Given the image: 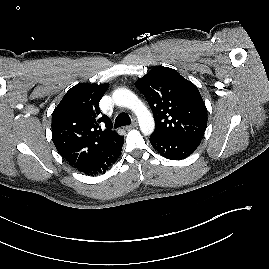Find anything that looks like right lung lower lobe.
<instances>
[{"label": "right lung lower lobe", "mask_w": 269, "mask_h": 269, "mask_svg": "<svg viewBox=\"0 0 269 269\" xmlns=\"http://www.w3.org/2000/svg\"><path fill=\"white\" fill-rule=\"evenodd\" d=\"M123 143L124 137L121 136L111 147L102 151L97 157L89 160L82 167L77 168V170L91 176L100 173L104 174L117 161L121 154Z\"/></svg>", "instance_id": "98d812e1"}]
</instances>
